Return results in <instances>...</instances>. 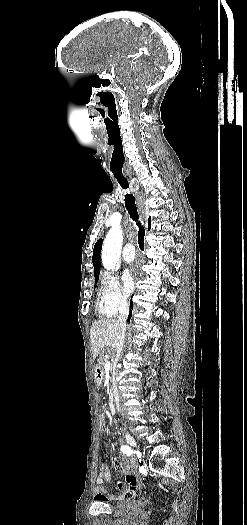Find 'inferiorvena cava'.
Here are the masks:
<instances>
[{
  "instance_id": "inferior-vena-cava-1",
  "label": "inferior vena cava",
  "mask_w": 247,
  "mask_h": 525,
  "mask_svg": "<svg viewBox=\"0 0 247 525\" xmlns=\"http://www.w3.org/2000/svg\"><path fill=\"white\" fill-rule=\"evenodd\" d=\"M128 315H129V305H128L127 301H120V303H119L118 325H120V327L122 329V335L120 337L119 343H117L116 361H118V359H120L121 351H122V349L124 347L125 333H126V329H127L126 321L128 319ZM115 375H116V373H114V379H116ZM115 385H117L116 381H115ZM115 393H117V391H115ZM116 399H117V397H116Z\"/></svg>"
}]
</instances>
